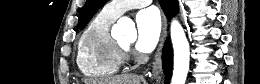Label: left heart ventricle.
I'll return each mask as SVG.
<instances>
[{"label": "left heart ventricle", "mask_w": 260, "mask_h": 84, "mask_svg": "<svg viewBox=\"0 0 260 84\" xmlns=\"http://www.w3.org/2000/svg\"><path fill=\"white\" fill-rule=\"evenodd\" d=\"M119 42L124 45V46H130L131 45V42L130 41H126V40H119Z\"/></svg>", "instance_id": "left-heart-ventricle-1"}]
</instances>
